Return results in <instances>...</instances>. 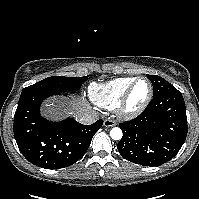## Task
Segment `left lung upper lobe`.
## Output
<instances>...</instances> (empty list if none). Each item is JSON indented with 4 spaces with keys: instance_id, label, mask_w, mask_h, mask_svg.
<instances>
[{
    "instance_id": "1",
    "label": "left lung upper lobe",
    "mask_w": 199,
    "mask_h": 199,
    "mask_svg": "<svg viewBox=\"0 0 199 199\" xmlns=\"http://www.w3.org/2000/svg\"><path fill=\"white\" fill-rule=\"evenodd\" d=\"M147 77L150 79L153 85V98L177 91L173 85L159 76L147 75Z\"/></svg>"
}]
</instances>
